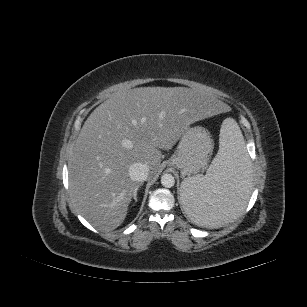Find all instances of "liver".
Listing matches in <instances>:
<instances>
[{
    "instance_id": "obj_1",
    "label": "liver",
    "mask_w": 307,
    "mask_h": 307,
    "mask_svg": "<svg viewBox=\"0 0 307 307\" xmlns=\"http://www.w3.org/2000/svg\"><path fill=\"white\" fill-rule=\"evenodd\" d=\"M227 110L218 96L185 87L120 91L87 118L69 159V189L78 212L109 232L126 218L141 183L129 176L135 162L157 174L162 150H170L190 124Z\"/></svg>"
}]
</instances>
